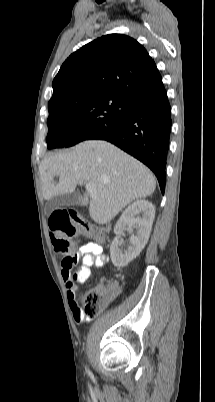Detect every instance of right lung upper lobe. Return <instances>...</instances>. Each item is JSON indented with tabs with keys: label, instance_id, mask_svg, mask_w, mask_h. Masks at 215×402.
<instances>
[{
	"label": "right lung upper lobe",
	"instance_id": "obj_1",
	"mask_svg": "<svg viewBox=\"0 0 215 402\" xmlns=\"http://www.w3.org/2000/svg\"><path fill=\"white\" fill-rule=\"evenodd\" d=\"M51 100L90 95H118L128 100L164 88L146 49L122 34L102 36L73 54L53 80Z\"/></svg>",
	"mask_w": 215,
	"mask_h": 402
}]
</instances>
